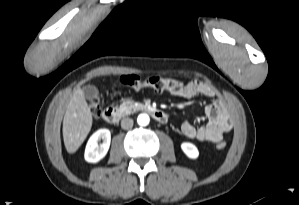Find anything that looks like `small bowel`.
I'll list each match as a JSON object with an SVG mask.
<instances>
[{"label":"small bowel","instance_id":"c3829d8e","mask_svg":"<svg viewBox=\"0 0 299 205\" xmlns=\"http://www.w3.org/2000/svg\"><path fill=\"white\" fill-rule=\"evenodd\" d=\"M178 97L192 99L197 96L215 98L214 101L203 108L207 123L196 127L191 121L186 120L181 124V132L188 138L200 141L219 142L224 135L232 129L229 109L224 100L217 97L215 89L206 82L193 80L181 89L174 91Z\"/></svg>","mask_w":299,"mask_h":205}]
</instances>
